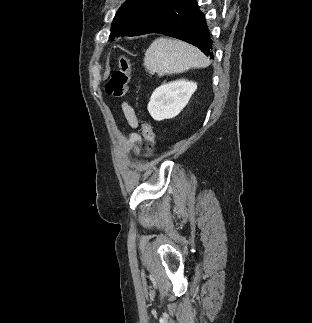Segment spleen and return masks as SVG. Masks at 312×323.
I'll list each match as a JSON object with an SVG mask.
<instances>
[{
    "instance_id": "obj_1",
    "label": "spleen",
    "mask_w": 312,
    "mask_h": 323,
    "mask_svg": "<svg viewBox=\"0 0 312 323\" xmlns=\"http://www.w3.org/2000/svg\"><path fill=\"white\" fill-rule=\"evenodd\" d=\"M210 62L198 48L173 38H157L145 52L144 64L151 74H181L189 68H206Z\"/></svg>"
}]
</instances>
